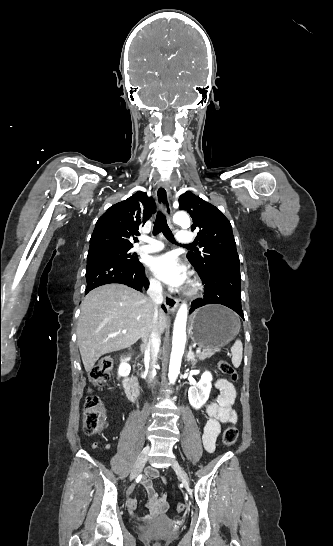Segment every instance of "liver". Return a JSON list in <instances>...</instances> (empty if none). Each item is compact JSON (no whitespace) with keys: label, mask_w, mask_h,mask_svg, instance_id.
<instances>
[{"label":"liver","mask_w":333,"mask_h":546,"mask_svg":"<svg viewBox=\"0 0 333 546\" xmlns=\"http://www.w3.org/2000/svg\"><path fill=\"white\" fill-rule=\"evenodd\" d=\"M154 311L145 295L122 284H107L90 291L81 303L78 346L87 372L104 354L127 348L141 337H149ZM166 326L164 312L158 310L161 335ZM126 330L127 333H122Z\"/></svg>","instance_id":"1"}]
</instances>
